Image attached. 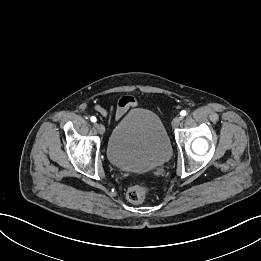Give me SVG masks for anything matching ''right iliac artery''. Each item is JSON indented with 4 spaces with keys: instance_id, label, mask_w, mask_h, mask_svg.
I'll return each mask as SVG.
<instances>
[{
    "instance_id": "right-iliac-artery-1",
    "label": "right iliac artery",
    "mask_w": 261,
    "mask_h": 261,
    "mask_svg": "<svg viewBox=\"0 0 261 261\" xmlns=\"http://www.w3.org/2000/svg\"><path fill=\"white\" fill-rule=\"evenodd\" d=\"M90 120H91V122H93V123H95V122L97 121V119H96L95 116H92V117L90 118Z\"/></svg>"
}]
</instances>
